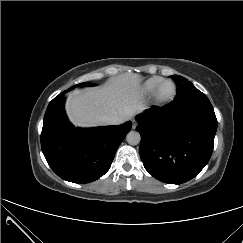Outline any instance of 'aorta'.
Here are the masks:
<instances>
[{"instance_id":"aorta-1","label":"aorta","mask_w":243,"mask_h":243,"mask_svg":"<svg viewBox=\"0 0 243 243\" xmlns=\"http://www.w3.org/2000/svg\"><path fill=\"white\" fill-rule=\"evenodd\" d=\"M126 140L130 145H137L140 143L141 136L137 131H130L126 136Z\"/></svg>"}]
</instances>
